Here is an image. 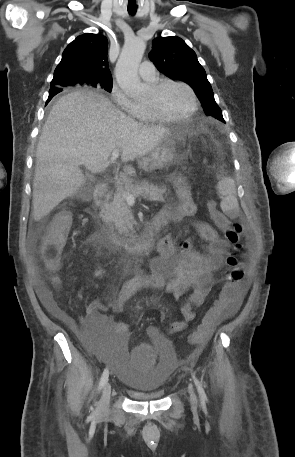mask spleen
<instances>
[{
	"mask_svg": "<svg viewBox=\"0 0 295 457\" xmlns=\"http://www.w3.org/2000/svg\"><path fill=\"white\" fill-rule=\"evenodd\" d=\"M218 193L223 196L221 209L229 217H233L239 211L236 198V185L230 177H222L217 184Z\"/></svg>",
	"mask_w": 295,
	"mask_h": 457,
	"instance_id": "1",
	"label": "spleen"
}]
</instances>
